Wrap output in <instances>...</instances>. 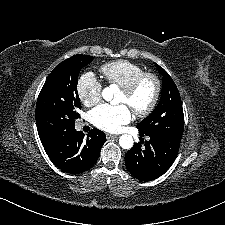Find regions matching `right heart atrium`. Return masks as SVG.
<instances>
[{
  "instance_id": "1",
  "label": "right heart atrium",
  "mask_w": 225,
  "mask_h": 225,
  "mask_svg": "<svg viewBox=\"0 0 225 225\" xmlns=\"http://www.w3.org/2000/svg\"><path fill=\"white\" fill-rule=\"evenodd\" d=\"M76 89L78 98L87 107L96 105L101 99L102 84L92 71L80 75Z\"/></svg>"
}]
</instances>
